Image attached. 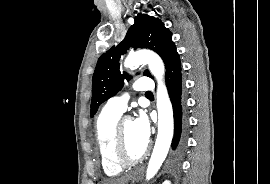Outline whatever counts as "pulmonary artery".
<instances>
[{
	"label": "pulmonary artery",
	"mask_w": 270,
	"mask_h": 184,
	"mask_svg": "<svg viewBox=\"0 0 270 184\" xmlns=\"http://www.w3.org/2000/svg\"><path fill=\"white\" fill-rule=\"evenodd\" d=\"M133 88L135 91L147 93V92H152L154 85H153V82L149 78L142 77L134 83ZM128 99H129V96L127 94L113 97L107 102L106 106L122 114L127 109Z\"/></svg>",
	"instance_id": "pulmonary-artery-1"
}]
</instances>
